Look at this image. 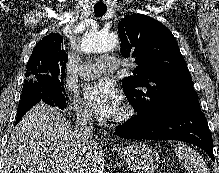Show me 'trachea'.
<instances>
[{
	"label": "trachea",
	"mask_w": 219,
	"mask_h": 173,
	"mask_svg": "<svg viewBox=\"0 0 219 173\" xmlns=\"http://www.w3.org/2000/svg\"><path fill=\"white\" fill-rule=\"evenodd\" d=\"M106 11H107L106 6H102V5H95L94 6V14L97 17L104 15L106 13Z\"/></svg>",
	"instance_id": "1"
}]
</instances>
